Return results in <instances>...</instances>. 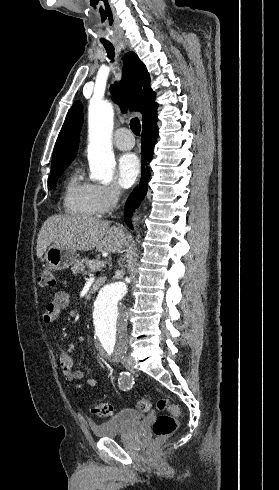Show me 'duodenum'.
<instances>
[{
	"instance_id": "410a0bca",
	"label": "duodenum",
	"mask_w": 279,
	"mask_h": 490,
	"mask_svg": "<svg viewBox=\"0 0 279 490\" xmlns=\"http://www.w3.org/2000/svg\"><path fill=\"white\" fill-rule=\"evenodd\" d=\"M103 284H104V280L103 279H97V280H95L93 282L92 286H91L90 292L91 293L97 292L102 287Z\"/></svg>"
}]
</instances>
